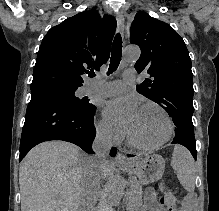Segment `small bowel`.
<instances>
[{"mask_svg": "<svg viewBox=\"0 0 219 211\" xmlns=\"http://www.w3.org/2000/svg\"><path fill=\"white\" fill-rule=\"evenodd\" d=\"M195 197L193 195H187L181 203L179 211H194ZM159 206L157 201V195L154 190L150 189L146 192L145 203L142 211H168ZM170 211V210H169Z\"/></svg>", "mask_w": 219, "mask_h": 211, "instance_id": "1", "label": "small bowel"}]
</instances>
